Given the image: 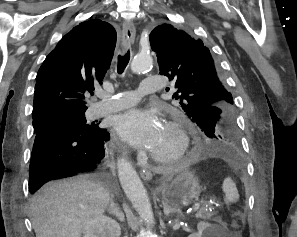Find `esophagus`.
Instances as JSON below:
<instances>
[{"instance_id":"obj_1","label":"esophagus","mask_w":297,"mask_h":237,"mask_svg":"<svg viewBox=\"0 0 297 237\" xmlns=\"http://www.w3.org/2000/svg\"><path fill=\"white\" fill-rule=\"evenodd\" d=\"M136 30L135 26L132 22H125L123 24V30H122V47L123 50H126L129 48V46L133 43L135 38ZM141 177L149 181L152 179V173L148 168H144L140 171Z\"/></svg>"}]
</instances>
